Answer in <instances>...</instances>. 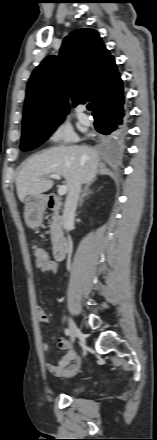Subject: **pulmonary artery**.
I'll return each mask as SVG.
<instances>
[{
    "label": "pulmonary artery",
    "instance_id": "e3ab8cb5",
    "mask_svg": "<svg viewBox=\"0 0 157 440\" xmlns=\"http://www.w3.org/2000/svg\"><path fill=\"white\" fill-rule=\"evenodd\" d=\"M76 112H77L79 118H80L83 122H88V121H89L88 116L84 114V108H83V106H78V107L76 108Z\"/></svg>",
    "mask_w": 157,
    "mask_h": 440
}]
</instances>
